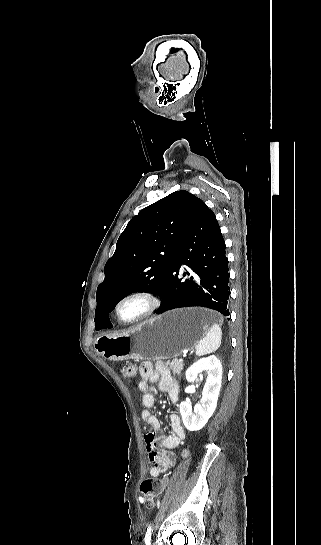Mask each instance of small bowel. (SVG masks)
Masks as SVG:
<instances>
[{
    "label": "small bowel",
    "mask_w": 321,
    "mask_h": 545,
    "mask_svg": "<svg viewBox=\"0 0 321 545\" xmlns=\"http://www.w3.org/2000/svg\"><path fill=\"white\" fill-rule=\"evenodd\" d=\"M140 381L138 388L142 394V404L146 408L142 411V419L146 428L144 440L152 466L149 473L152 477L165 474L175 462V454L172 451L177 448L185 438V431L181 420L176 414L169 416V434L165 437L159 435L161 426L159 420L150 411L155 405L154 395L148 391V384L157 382L158 389L166 393L172 403L177 402L179 397V386L171 377L169 369L161 362L153 365L151 362H144L139 368Z\"/></svg>",
    "instance_id": "small-bowel-1"
}]
</instances>
